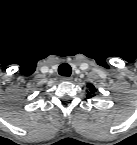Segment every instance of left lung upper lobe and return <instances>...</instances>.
Listing matches in <instances>:
<instances>
[{"instance_id": "obj_1", "label": "left lung upper lobe", "mask_w": 137, "mask_h": 145, "mask_svg": "<svg viewBox=\"0 0 137 145\" xmlns=\"http://www.w3.org/2000/svg\"><path fill=\"white\" fill-rule=\"evenodd\" d=\"M86 87H87V90H86L87 97L88 98L94 97L96 95V92H97L96 88L92 84H88V85H86Z\"/></svg>"}]
</instances>
